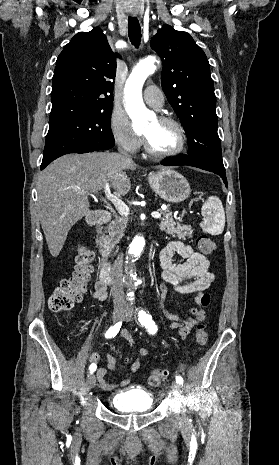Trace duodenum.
<instances>
[{
	"label": "duodenum",
	"mask_w": 279,
	"mask_h": 465,
	"mask_svg": "<svg viewBox=\"0 0 279 465\" xmlns=\"http://www.w3.org/2000/svg\"><path fill=\"white\" fill-rule=\"evenodd\" d=\"M111 213L106 210L99 211L89 217V223L94 227L97 235H100L102 232L103 227L111 220ZM100 254L103 258L101 270H100V280L103 281L106 285L111 283V273H110V265L108 262L109 258V250L101 245L100 246Z\"/></svg>",
	"instance_id": "1"
}]
</instances>
